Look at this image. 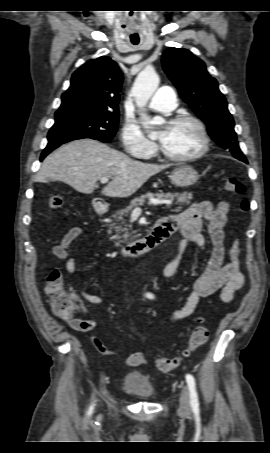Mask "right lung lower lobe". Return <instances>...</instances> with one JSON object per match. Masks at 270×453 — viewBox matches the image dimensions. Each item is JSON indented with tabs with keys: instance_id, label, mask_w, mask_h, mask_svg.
<instances>
[{
	"instance_id": "98d812e1",
	"label": "right lung lower lobe",
	"mask_w": 270,
	"mask_h": 453,
	"mask_svg": "<svg viewBox=\"0 0 270 453\" xmlns=\"http://www.w3.org/2000/svg\"><path fill=\"white\" fill-rule=\"evenodd\" d=\"M63 143H66V142H62V141H50V142H48L47 147L43 150V152L41 154L40 161H42L45 158L46 155H48L51 151H53L54 149H56L57 147H59Z\"/></svg>"
}]
</instances>
